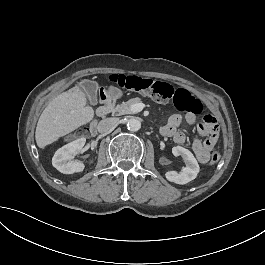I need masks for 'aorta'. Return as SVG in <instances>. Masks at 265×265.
Masks as SVG:
<instances>
[{
  "label": "aorta",
  "instance_id": "aorta-1",
  "mask_svg": "<svg viewBox=\"0 0 265 265\" xmlns=\"http://www.w3.org/2000/svg\"><path fill=\"white\" fill-rule=\"evenodd\" d=\"M126 125L129 131L136 132L141 128V121L138 117H133L127 121Z\"/></svg>",
  "mask_w": 265,
  "mask_h": 265
}]
</instances>
